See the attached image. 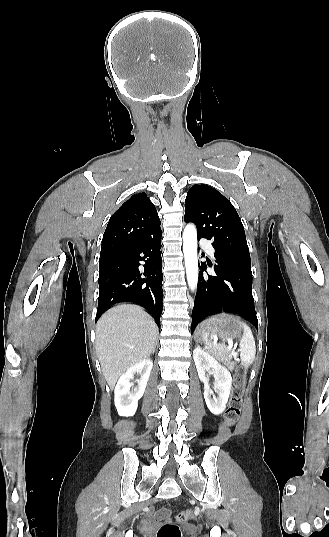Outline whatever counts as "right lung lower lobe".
Masks as SVG:
<instances>
[{"label": "right lung lower lobe", "mask_w": 329, "mask_h": 537, "mask_svg": "<svg viewBox=\"0 0 329 537\" xmlns=\"http://www.w3.org/2000/svg\"><path fill=\"white\" fill-rule=\"evenodd\" d=\"M161 232L142 243L99 258L96 321L113 304L130 301L147 308L160 325L163 308Z\"/></svg>", "instance_id": "1"}]
</instances>
